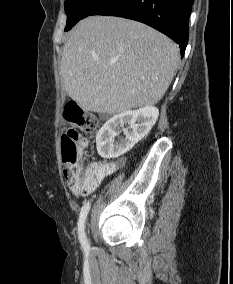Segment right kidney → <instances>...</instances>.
<instances>
[{
	"label": "right kidney",
	"mask_w": 233,
	"mask_h": 284,
	"mask_svg": "<svg viewBox=\"0 0 233 284\" xmlns=\"http://www.w3.org/2000/svg\"><path fill=\"white\" fill-rule=\"evenodd\" d=\"M158 115L159 110L153 106L114 115L96 135L98 154L103 158H117L127 153L150 132ZM124 125H128L129 129ZM121 130L125 137L115 140Z\"/></svg>",
	"instance_id": "obj_1"
}]
</instances>
